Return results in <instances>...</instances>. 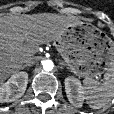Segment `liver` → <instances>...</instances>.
<instances>
[{"mask_svg": "<svg viewBox=\"0 0 114 114\" xmlns=\"http://www.w3.org/2000/svg\"><path fill=\"white\" fill-rule=\"evenodd\" d=\"M79 23L76 16L51 13L0 17V87L26 60H35L40 45L60 39Z\"/></svg>", "mask_w": 114, "mask_h": 114, "instance_id": "obj_1", "label": "liver"}]
</instances>
